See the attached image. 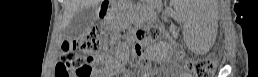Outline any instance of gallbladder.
I'll return each instance as SVG.
<instances>
[{
    "instance_id": "1",
    "label": "gallbladder",
    "mask_w": 258,
    "mask_h": 77,
    "mask_svg": "<svg viewBox=\"0 0 258 77\" xmlns=\"http://www.w3.org/2000/svg\"><path fill=\"white\" fill-rule=\"evenodd\" d=\"M98 7L81 8L74 14L66 27L68 39H76L83 36L97 17Z\"/></svg>"
}]
</instances>
